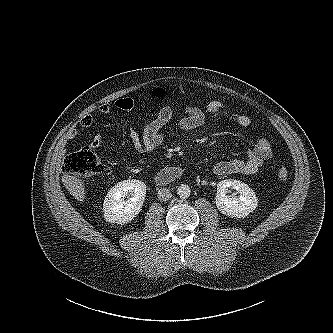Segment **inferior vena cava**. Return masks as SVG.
<instances>
[{
    "instance_id": "602c4592",
    "label": "inferior vena cava",
    "mask_w": 333,
    "mask_h": 333,
    "mask_svg": "<svg viewBox=\"0 0 333 333\" xmlns=\"http://www.w3.org/2000/svg\"><path fill=\"white\" fill-rule=\"evenodd\" d=\"M157 196H158V199L160 201H167V200H169L172 197V194L169 191V189H167V188H161L158 191V195Z\"/></svg>"
}]
</instances>
